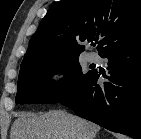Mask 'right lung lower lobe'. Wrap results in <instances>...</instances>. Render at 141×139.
I'll use <instances>...</instances> for the list:
<instances>
[{
    "label": "right lung lower lobe",
    "instance_id": "right-lung-lower-lobe-1",
    "mask_svg": "<svg viewBox=\"0 0 141 139\" xmlns=\"http://www.w3.org/2000/svg\"><path fill=\"white\" fill-rule=\"evenodd\" d=\"M101 57L109 59L107 81L97 84L100 74L94 71L60 103L110 131L141 139V39Z\"/></svg>",
    "mask_w": 141,
    "mask_h": 139
}]
</instances>
